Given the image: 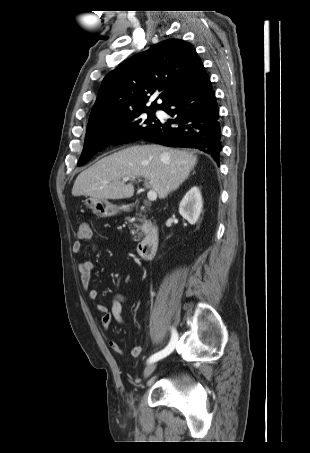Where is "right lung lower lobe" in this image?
Here are the masks:
<instances>
[{
  "label": "right lung lower lobe",
  "mask_w": 310,
  "mask_h": 453,
  "mask_svg": "<svg viewBox=\"0 0 310 453\" xmlns=\"http://www.w3.org/2000/svg\"><path fill=\"white\" fill-rule=\"evenodd\" d=\"M162 110L176 115V120L159 121L143 139L165 146L197 148L219 162L222 149L219 108L204 66Z\"/></svg>",
  "instance_id": "right-lung-lower-lobe-1"
}]
</instances>
